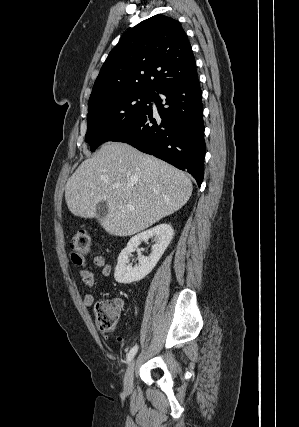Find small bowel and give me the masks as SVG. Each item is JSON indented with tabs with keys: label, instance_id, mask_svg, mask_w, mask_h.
<instances>
[{
	"label": "small bowel",
	"instance_id": "1",
	"mask_svg": "<svg viewBox=\"0 0 299 427\" xmlns=\"http://www.w3.org/2000/svg\"><path fill=\"white\" fill-rule=\"evenodd\" d=\"M75 263L77 264V273L87 287H93L95 285L96 278L93 273L94 268H99L100 275L103 277H107L111 273V266L106 263V258L103 255L96 256L90 266H88L84 261H75ZM94 301L95 297L91 293L85 295L83 299V303L87 307L92 306ZM115 304L118 306L119 310H121L124 305L123 300L121 299H116Z\"/></svg>",
	"mask_w": 299,
	"mask_h": 427
}]
</instances>
